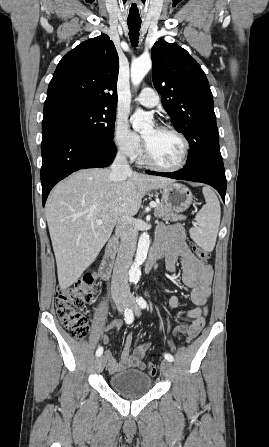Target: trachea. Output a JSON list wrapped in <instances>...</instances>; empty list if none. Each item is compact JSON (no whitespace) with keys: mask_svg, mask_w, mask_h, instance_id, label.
<instances>
[{"mask_svg":"<svg viewBox=\"0 0 269 447\" xmlns=\"http://www.w3.org/2000/svg\"><path fill=\"white\" fill-rule=\"evenodd\" d=\"M129 28V37L133 46H137L139 40V30L141 22H127Z\"/></svg>","mask_w":269,"mask_h":447,"instance_id":"1","label":"trachea"}]
</instances>
